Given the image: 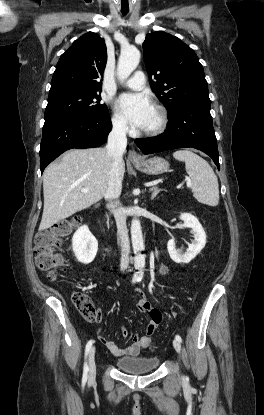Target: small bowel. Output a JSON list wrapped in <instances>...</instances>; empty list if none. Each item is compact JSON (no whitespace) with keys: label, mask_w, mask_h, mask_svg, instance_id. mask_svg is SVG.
I'll return each instance as SVG.
<instances>
[{"label":"small bowel","mask_w":264,"mask_h":415,"mask_svg":"<svg viewBox=\"0 0 264 415\" xmlns=\"http://www.w3.org/2000/svg\"><path fill=\"white\" fill-rule=\"evenodd\" d=\"M167 271L168 268L166 266H162V273H166ZM136 308L140 312L148 311L149 321L145 327V331L148 335L152 334L161 321V313L157 309H152L150 307V303L144 297H140L138 299ZM121 332L124 338H128L130 336L126 329H122ZM99 340L113 355L121 357H137L140 351L145 349L140 336L137 334L134 336L133 342L124 348L119 347L114 341L108 340L103 336H100Z\"/></svg>","instance_id":"1"}]
</instances>
